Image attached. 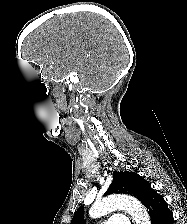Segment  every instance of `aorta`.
Listing matches in <instances>:
<instances>
[{
	"mask_svg": "<svg viewBox=\"0 0 187 224\" xmlns=\"http://www.w3.org/2000/svg\"><path fill=\"white\" fill-rule=\"evenodd\" d=\"M116 209L128 212L135 224H150L146 209L137 199L129 196H109L95 202L89 210V215L92 218H99Z\"/></svg>",
	"mask_w": 187,
	"mask_h": 224,
	"instance_id": "1",
	"label": "aorta"
}]
</instances>
